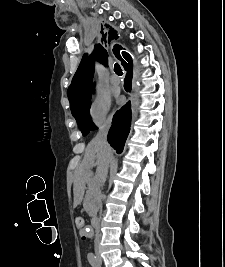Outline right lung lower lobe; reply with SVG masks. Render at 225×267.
I'll list each match as a JSON object with an SVG mask.
<instances>
[{
	"instance_id": "98d812e1",
	"label": "right lung lower lobe",
	"mask_w": 225,
	"mask_h": 267,
	"mask_svg": "<svg viewBox=\"0 0 225 267\" xmlns=\"http://www.w3.org/2000/svg\"><path fill=\"white\" fill-rule=\"evenodd\" d=\"M125 69L127 71V75L124 86L126 90H129L131 87L132 63H129V66H127ZM130 119L131 105L127 103L115 114L112 127L108 134V142L117 150V153H121L123 150L124 143L129 132Z\"/></svg>"
}]
</instances>
